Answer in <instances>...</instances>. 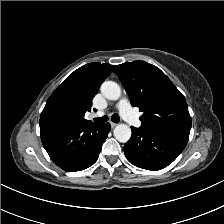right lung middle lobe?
<instances>
[{
  "instance_id": "dd1d6c3e",
  "label": "right lung middle lobe",
  "mask_w": 224,
  "mask_h": 224,
  "mask_svg": "<svg viewBox=\"0 0 224 224\" xmlns=\"http://www.w3.org/2000/svg\"><path fill=\"white\" fill-rule=\"evenodd\" d=\"M41 118H53L63 121H69L68 111L62 104H53L41 114Z\"/></svg>"
}]
</instances>
